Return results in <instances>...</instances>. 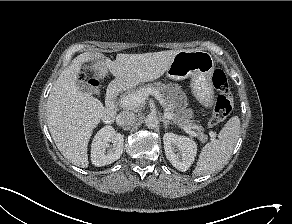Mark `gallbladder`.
Returning a JSON list of instances; mask_svg holds the SVG:
<instances>
[{
    "mask_svg": "<svg viewBox=\"0 0 292 224\" xmlns=\"http://www.w3.org/2000/svg\"><path fill=\"white\" fill-rule=\"evenodd\" d=\"M77 85L80 88V90H82L84 92H88L90 94H95L96 96L101 95V90L98 87L92 86L91 84H89L85 80H78Z\"/></svg>",
    "mask_w": 292,
    "mask_h": 224,
    "instance_id": "gallbladder-1",
    "label": "gallbladder"
}]
</instances>
